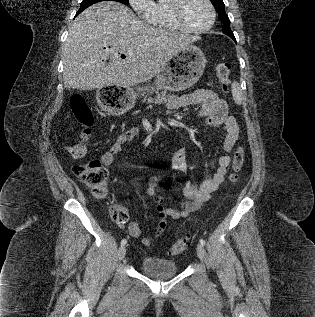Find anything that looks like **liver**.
<instances>
[{"label": "liver", "mask_w": 315, "mask_h": 317, "mask_svg": "<svg viewBox=\"0 0 315 317\" xmlns=\"http://www.w3.org/2000/svg\"><path fill=\"white\" fill-rule=\"evenodd\" d=\"M197 40L198 36L152 27L120 3L95 4L69 26L63 51L64 86L92 90L149 81L175 52ZM122 53L126 58H120Z\"/></svg>", "instance_id": "6515ba94"}]
</instances>
